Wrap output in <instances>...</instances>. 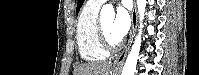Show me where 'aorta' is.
<instances>
[{
	"mask_svg": "<svg viewBox=\"0 0 199 75\" xmlns=\"http://www.w3.org/2000/svg\"><path fill=\"white\" fill-rule=\"evenodd\" d=\"M137 7L139 12V20H140V29L139 33L135 38L134 44L132 45L131 51L129 52L126 62L124 64L122 75H134L136 70L137 60L139 57L140 46H141V35L143 24L142 21L144 19L145 9H146V0H137ZM115 12L110 4H106L102 7L100 12V20H104L106 18H114Z\"/></svg>",
	"mask_w": 199,
	"mask_h": 75,
	"instance_id": "aorta-1",
	"label": "aorta"
}]
</instances>
